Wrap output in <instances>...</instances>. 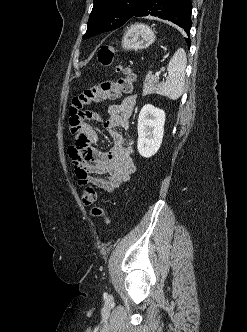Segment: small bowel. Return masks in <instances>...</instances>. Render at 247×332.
<instances>
[{"label":"small bowel","mask_w":247,"mask_h":332,"mask_svg":"<svg viewBox=\"0 0 247 332\" xmlns=\"http://www.w3.org/2000/svg\"><path fill=\"white\" fill-rule=\"evenodd\" d=\"M135 106V97L125 98L119 104L108 106L106 112L86 111L80 128L74 133L75 142L68 149L79 185L95 186L113 193L136 171L132 158L133 141L128 142L118 129L129 130V119ZM103 122L112 138L108 152L98 151L94 145L98 135L88 121Z\"/></svg>","instance_id":"c3829d8e"}]
</instances>
